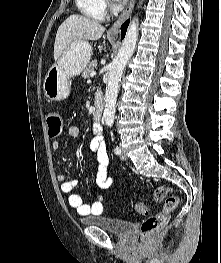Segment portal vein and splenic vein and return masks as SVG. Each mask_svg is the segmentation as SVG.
Returning <instances> with one entry per match:
<instances>
[{
  "mask_svg": "<svg viewBox=\"0 0 221 263\" xmlns=\"http://www.w3.org/2000/svg\"><path fill=\"white\" fill-rule=\"evenodd\" d=\"M95 75H96L95 72H92V73L90 74L91 77H94Z\"/></svg>",
  "mask_w": 221,
  "mask_h": 263,
  "instance_id": "1",
  "label": "portal vein and splenic vein"
}]
</instances>
